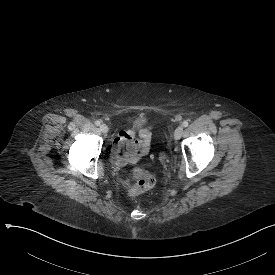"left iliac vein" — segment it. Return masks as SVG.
Returning <instances> with one entry per match:
<instances>
[{"label":"left iliac vein","instance_id":"obj_1","mask_svg":"<svg viewBox=\"0 0 275 275\" xmlns=\"http://www.w3.org/2000/svg\"><path fill=\"white\" fill-rule=\"evenodd\" d=\"M183 132H184L183 126H178L174 134L175 140H179L182 137Z\"/></svg>","mask_w":275,"mask_h":275}]
</instances>
